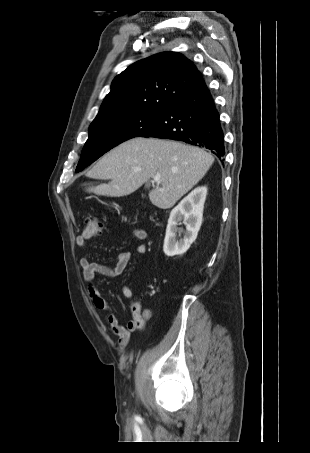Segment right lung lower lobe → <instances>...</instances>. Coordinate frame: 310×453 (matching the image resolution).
<instances>
[{"label":"right lung lower lobe","instance_id":"right-lung-lower-lobe-1","mask_svg":"<svg viewBox=\"0 0 310 453\" xmlns=\"http://www.w3.org/2000/svg\"><path fill=\"white\" fill-rule=\"evenodd\" d=\"M139 137L172 139L202 146L221 161L225 154L219 113L205 81L164 109L157 121Z\"/></svg>","mask_w":310,"mask_h":453}]
</instances>
